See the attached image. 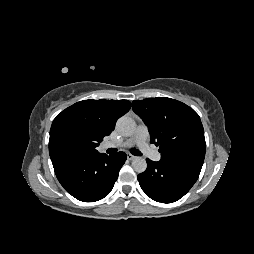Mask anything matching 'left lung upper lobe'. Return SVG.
Instances as JSON below:
<instances>
[{"label":"left lung upper lobe","mask_w":254,"mask_h":254,"mask_svg":"<svg viewBox=\"0 0 254 254\" xmlns=\"http://www.w3.org/2000/svg\"><path fill=\"white\" fill-rule=\"evenodd\" d=\"M143 120L150 142L159 146L161 162L202 168L206 143L199 115L186 104L166 97L132 102Z\"/></svg>","instance_id":"1"}]
</instances>
